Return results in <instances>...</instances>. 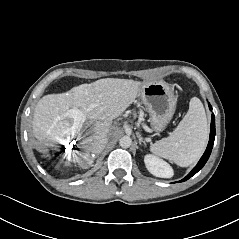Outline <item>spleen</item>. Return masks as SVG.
Listing matches in <instances>:
<instances>
[{
  "mask_svg": "<svg viewBox=\"0 0 239 239\" xmlns=\"http://www.w3.org/2000/svg\"><path fill=\"white\" fill-rule=\"evenodd\" d=\"M208 124L202 102L193 97L189 110L174 132L152 144L150 150L181 167L196 162L203 154L208 140Z\"/></svg>",
  "mask_w": 239,
  "mask_h": 239,
  "instance_id": "1",
  "label": "spleen"
}]
</instances>
